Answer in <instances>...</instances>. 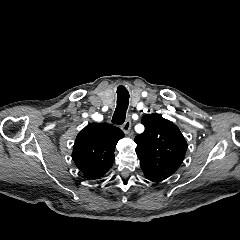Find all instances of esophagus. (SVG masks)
I'll return each mask as SVG.
<instances>
[{
  "mask_svg": "<svg viewBox=\"0 0 240 240\" xmlns=\"http://www.w3.org/2000/svg\"><path fill=\"white\" fill-rule=\"evenodd\" d=\"M131 128V119L128 118L124 124L122 125L121 129L125 134H128Z\"/></svg>",
  "mask_w": 240,
  "mask_h": 240,
  "instance_id": "34e87169",
  "label": "esophagus"
}]
</instances>
